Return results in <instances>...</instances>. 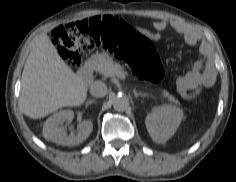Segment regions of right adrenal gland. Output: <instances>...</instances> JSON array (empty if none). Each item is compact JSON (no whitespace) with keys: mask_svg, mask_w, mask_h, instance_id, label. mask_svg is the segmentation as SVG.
Wrapping results in <instances>:
<instances>
[{"mask_svg":"<svg viewBox=\"0 0 236 182\" xmlns=\"http://www.w3.org/2000/svg\"><path fill=\"white\" fill-rule=\"evenodd\" d=\"M89 103H90V104H92V103H96V101H94V100H90Z\"/></svg>","mask_w":236,"mask_h":182,"instance_id":"right-adrenal-gland-1","label":"right adrenal gland"}]
</instances>
